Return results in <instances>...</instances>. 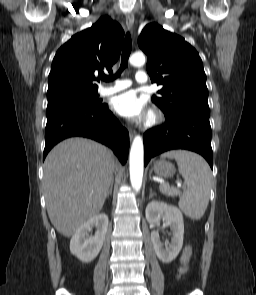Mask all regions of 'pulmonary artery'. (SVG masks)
Masks as SVG:
<instances>
[{"label":"pulmonary artery","mask_w":256,"mask_h":295,"mask_svg":"<svg viewBox=\"0 0 256 295\" xmlns=\"http://www.w3.org/2000/svg\"><path fill=\"white\" fill-rule=\"evenodd\" d=\"M135 80L139 84H145L148 81V76L145 71H138L135 76ZM132 85V81L129 79H122L116 81L112 86L102 87L99 90V93L102 96H108L119 91L125 90Z\"/></svg>","instance_id":"e3ab8cb5"}]
</instances>
